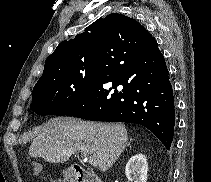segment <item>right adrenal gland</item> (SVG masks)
Wrapping results in <instances>:
<instances>
[{"label": "right adrenal gland", "mask_w": 211, "mask_h": 182, "mask_svg": "<svg viewBox=\"0 0 211 182\" xmlns=\"http://www.w3.org/2000/svg\"><path fill=\"white\" fill-rule=\"evenodd\" d=\"M127 146H130L131 147V140H130V142H128Z\"/></svg>", "instance_id": "right-adrenal-gland-1"}]
</instances>
